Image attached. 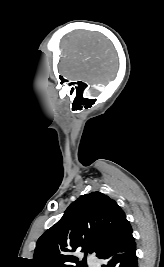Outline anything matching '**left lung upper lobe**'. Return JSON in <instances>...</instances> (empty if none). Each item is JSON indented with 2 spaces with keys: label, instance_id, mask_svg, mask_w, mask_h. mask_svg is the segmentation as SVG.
Wrapping results in <instances>:
<instances>
[{
  "label": "left lung upper lobe",
  "instance_id": "5c2ea615",
  "mask_svg": "<svg viewBox=\"0 0 164 267\" xmlns=\"http://www.w3.org/2000/svg\"><path fill=\"white\" fill-rule=\"evenodd\" d=\"M127 222L117 203L101 192L80 196L37 241L32 267H87L71 255L78 250L99 258ZM76 263V266L72 265Z\"/></svg>",
  "mask_w": 164,
  "mask_h": 267
}]
</instances>
